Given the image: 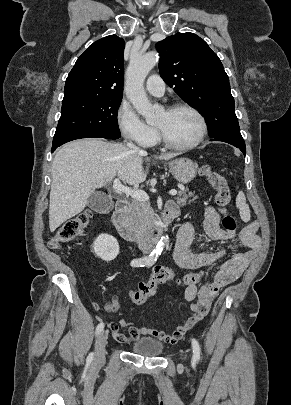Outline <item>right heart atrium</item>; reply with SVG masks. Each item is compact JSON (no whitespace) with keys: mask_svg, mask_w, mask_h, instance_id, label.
<instances>
[{"mask_svg":"<svg viewBox=\"0 0 291 405\" xmlns=\"http://www.w3.org/2000/svg\"><path fill=\"white\" fill-rule=\"evenodd\" d=\"M117 123L123 136L140 146H150L156 139V130L143 122L126 104H122L118 108Z\"/></svg>","mask_w":291,"mask_h":405,"instance_id":"right-heart-atrium-1","label":"right heart atrium"}]
</instances>
